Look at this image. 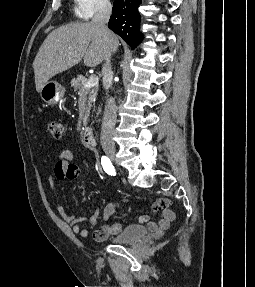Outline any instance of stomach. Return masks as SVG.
<instances>
[{
	"label": "stomach",
	"mask_w": 255,
	"mask_h": 287,
	"mask_svg": "<svg viewBox=\"0 0 255 287\" xmlns=\"http://www.w3.org/2000/svg\"><path fill=\"white\" fill-rule=\"evenodd\" d=\"M65 94V90L58 82H46L42 90H40V96L48 106H55L60 100H62Z\"/></svg>",
	"instance_id": "stomach-1"
}]
</instances>
